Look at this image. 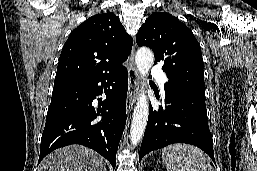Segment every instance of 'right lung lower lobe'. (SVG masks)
Wrapping results in <instances>:
<instances>
[{"label": "right lung lower lobe", "mask_w": 257, "mask_h": 171, "mask_svg": "<svg viewBox=\"0 0 257 171\" xmlns=\"http://www.w3.org/2000/svg\"><path fill=\"white\" fill-rule=\"evenodd\" d=\"M127 69L88 80L55 85L42 133L38 164L53 150L81 144L105 157L115 168L116 152L126 122ZM106 94L95 108L93 100Z\"/></svg>", "instance_id": "right-lung-lower-lobe-1"}]
</instances>
